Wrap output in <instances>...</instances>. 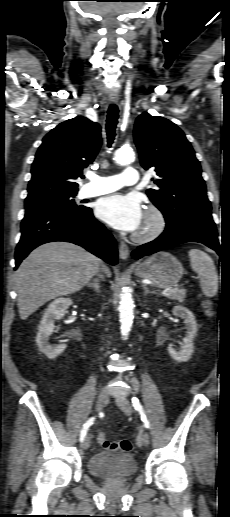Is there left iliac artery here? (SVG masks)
<instances>
[{"label":"left iliac artery","mask_w":230,"mask_h":517,"mask_svg":"<svg viewBox=\"0 0 230 517\" xmlns=\"http://www.w3.org/2000/svg\"><path fill=\"white\" fill-rule=\"evenodd\" d=\"M132 404H133V407L135 408V410H137L139 412V414L141 415V420L143 421L144 423V426L146 428H149L150 427V424H149V421L146 417V414H145V411L143 409V406L141 405L140 401L138 400L137 397H133L132 398Z\"/></svg>","instance_id":"left-iliac-artery-1"}]
</instances>
